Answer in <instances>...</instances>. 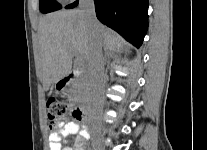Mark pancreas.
<instances>
[{"mask_svg":"<svg viewBox=\"0 0 207 150\" xmlns=\"http://www.w3.org/2000/svg\"><path fill=\"white\" fill-rule=\"evenodd\" d=\"M87 85V76H83V78L74 83V88L85 89Z\"/></svg>","mask_w":207,"mask_h":150,"instance_id":"1","label":"pancreas"}]
</instances>
